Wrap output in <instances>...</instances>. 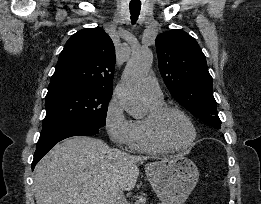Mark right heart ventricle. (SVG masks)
<instances>
[{"label": "right heart ventricle", "instance_id": "obj_1", "mask_svg": "<svg viewBox=\"0 0 261 204\" xmlns=\"http://www.w3.org/2000/svg\"><path fill=\"white\" fill-rule=\"evenodd\" d=\"M146 104L149 110L148 116L152 112L165 106L163 100L160 101L146 100ZM148 116L143 119H136L132 121V138H131L130 147L134 150L143 151V152L170 151L169 149L159 144L153 137L148 123Z\"/></svg>", "mask_w": 261, "mask_h": 204}]
</instances>
